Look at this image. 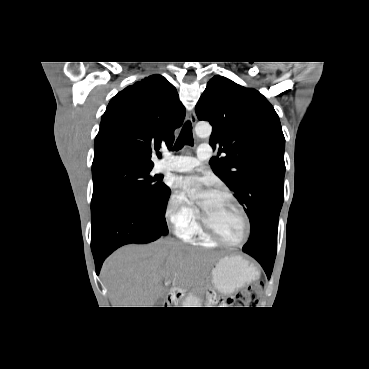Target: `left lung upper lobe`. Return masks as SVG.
Returning <instances> with one entry per match:
<instances>
[{"label":"left lung upper lobe","instance_id":"obj_1","mask_svg":"<svg viewBox=\"0 0 369 369\" xmlns=\"http://www.w3.org/2000/svg\"><path fill=\"white\" fill-rule=\"evenodd\" d=\"M199 120L213 127L209 144L226 154L213 157L214 173L236 194L251 234L244 249L276 255L284 200L285 138L277 113L258 91L216 75L197 105Z\"/></svg>","mask_w":369,"mask_h":369}]
</instances>
